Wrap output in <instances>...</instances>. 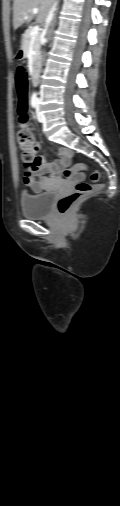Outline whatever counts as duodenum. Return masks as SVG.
<instances>
[{"mask_svg":"<svg viewBox=\"0 0 120 506\" xmlns=\"http://www.w3.org/2000/svg\"><path fill=\"white\" fill-rule=\"evenodd\" d=\"M15 54H16L17 58H20V59L22 58L23 59V58L27 57L28 53H27V50L25 49V47L23 45H18L16 47V53ZM38 76H39V64H38V62H35L33 64V68H32V80L36 81L37 78H38Z\"/></svg>","mask_w":120,"mask_h":506,"instance_id":"410a0bca","label":"duodenum"}]
</instances>
